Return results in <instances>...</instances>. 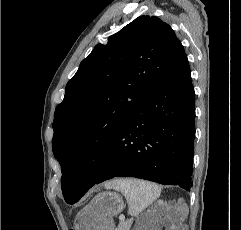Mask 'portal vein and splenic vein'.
I'll return each mask as SVG.
<instances>
[{
  "label": "portal vein and splenic vein",
  "instance_id": "18ae733b",
  "mask_svg": "<svg viewBox=\"0 0 241 230\" xmlns=\"http://www.w3.org/2000/svg\"><path fill=\"white\" fill-rule=\"evenodd\" d=\"M119 219H120V222H123V221H125V216L124 215H120Z\"/></svg>",
  "mask_w": 241,
  "mask_h": 230
}]
</instances>
